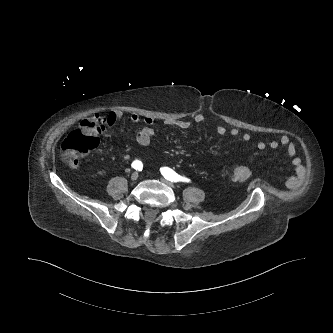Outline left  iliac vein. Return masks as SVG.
I'll list each match as a JSON object with an SVG mask.
<instances>
[{
	"label": "left iliac vein",
	"mask_w": 333,
	"mask_h": 333,
	"mask_svg": "<svg viewBox=\"0 0 333 333\" xmlns=\"http://www.w3.org/2000/svg\"><path fill=\"white\" fill-rule=\"evenodd\" d=\"M161 182H163L164 184H166L170 188L175 189V185L172 182H170V181H168V180H166L164 178H161Z\"/></svg>",
	"instance_id": "1"
}]
</instances>
